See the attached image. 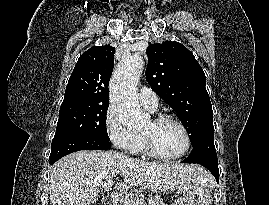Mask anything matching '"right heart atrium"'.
Returning <instances> with one entry per match:
<instances>
[{"label": "right heart atrium", "instance_id": "d8ad5b80", "mask_svg": "<svg viewBox=\"0 0 269 205\" xmlns=\"http://www.w3.org/2000/svg\"><path fill=\"white\" fill-rule=\"evenodd\" d=\"M104 130L110 142L118 149L132 151L139 137L119 121L114 109L109 107L104 116Z\"/></svg>", "mask_w": 269, "mask_h": 205}]
</instances>
